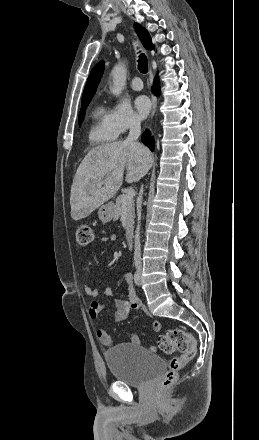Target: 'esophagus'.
Wrapping results in <instances>:
<instances>
[{"mask_svg": "<svg viewBox=\"0 0 259 440\" xmlns=\"http://www.w3.org/2000/svg\"><path fill=\"white\" fill-rule=\"evenodd\" d=\"M151 99H152V111H151V117H153L154 114H155V112H156V109H157V100H156V98H155L154 95L151 96Z\"/></svg>", "mask_w": 259, "mask_h": 440, "instance_id": "1", "label": "esophagus"}]
</instances>
